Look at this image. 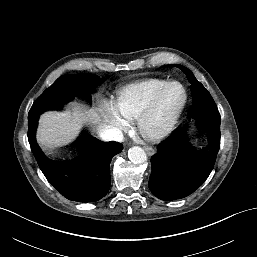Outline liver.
<instances>
[{
	"label": "liver",
	"instance_id": "liver-1",
	"mask_svg": "<svg viewBox=\"0 0 257 257\" xmlns=\"http://www.w3.org/2000/svg\"><path fill=\"white\" fill-rule=\"evenodd\" d=\"M84 114L80 112H46L41 116L38 129L39 142L55 148L67 144L78 132Z\"/></svg>",
	"mask_w": 257,
	"mask_h": 257
}]
</instances>
